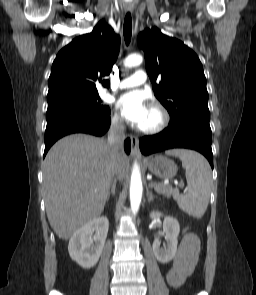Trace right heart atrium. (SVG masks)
Wrapping results in <instances>:
<instances>
[{"label":"right heart atrium","mask_w":256,"mask_h":295,"mask_svg":"<svg viewBox=\"0 0 256 295\" xmlns=\"http://www.w3.org/2000/svg\"><path fill=\"white\" fill-rule=\"evenodd\" d=\"M111 122H112V125L118 129L123 128L124 126L123 119L117 112H114L112 114Z\"/></svg>","instance_id":"right-heart-atrium-1"}]
</instances>
